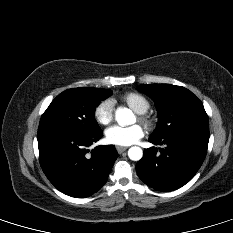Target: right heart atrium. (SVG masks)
I'll return each instance as SVG.
<instances>
[{"label":"right heart atrium","mask_w":233,"mask_h":233,"mask_svg":"<svg viewBox=\"0 0 233 233\" xmlns=\"http://www.w3.org/2000/svg\"><path fill=\"white\" fill-rule=\"evenodd\" d=\"M113 114L114 102L110 98L100 101L93 111L95 120L101 125L109 124L113 119Z\"/></svg>","instance_id":"1"}]
</instances>
